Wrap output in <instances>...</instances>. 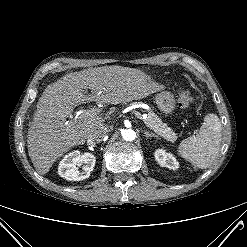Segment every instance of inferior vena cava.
<instances>
[{
    "label": "inferior vena cava",
    "instance_id": "obj_1",
    "mask_svg": "<svg viewBox=\"0 0 247 247\" xmlns=\"http://www.w3.org/2000/svg\"><path fill=\"white\" fill-rule=\"evenodd\" d=\"M106 134H107V130L102 126L90 134V136L88 137V142L100 143L104 139Z\"/></svg>",
    "mask_w": 247,
    "mask_h": 247
}]
</instances>
